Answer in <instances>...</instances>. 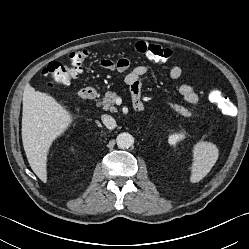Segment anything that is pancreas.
Instances as JSON below:
<instances>
[{"mask_svg": "<svg viewBox=\"0 0 249 249\" xmlns=\"http://www.w3.org/2000/svg\"><path fill=\"white\" fill-rule=\"evenodd\" d=\"M117 98V94L115 92L108 91L99 105H102L104 110H109L111 112H116L117 108L115 107V100ZM171 107L180 115L184 117H190L192 114L183 106L180 105H171Z\"/></svg>", "mask_w": 249, "mask_h": 249, "instance_id": "1", "label": "pancreas"}]
</instances>
